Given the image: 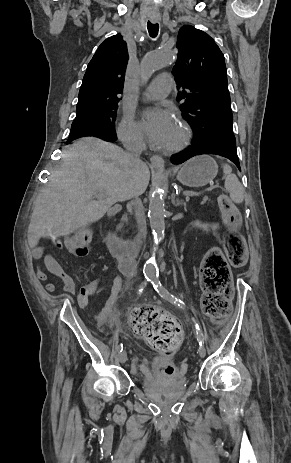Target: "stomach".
Wrapping results in <instances>:
<instances>
[{
	"mask_svg": "<svg viewBox=\"0 0 291 463\" xmlns=\"http://www.w3.org/2000/svg\"><path fill=\"white\" fill-rule=\"evenodd\" d=\"M218 173L216 162L209 156H196L180 168L177 179L189 187H201L212 182Z\"/></svg>",
	"mask_w": 291,
	"mask_h": 463,
	"instance_id": "1",
	"label": "stomach"
}]
</instances>
